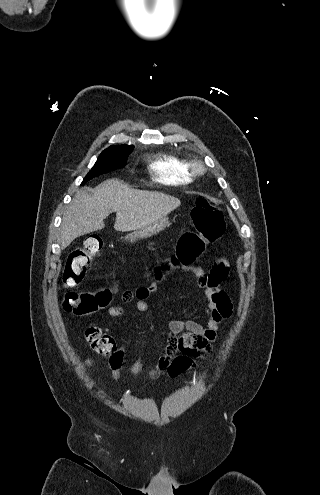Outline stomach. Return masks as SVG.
Instances as JSON below:
<instances>
[{"instance_id": "1", "label": "stomach", "mask_w": 320, "mask_h": 495, "mask_svg": "<svg viewBox=\"0 0 320 495\" xmlns=\"http://www.w3.org/2000/svg\"><path fill=\"white\" fill-rule=\"evenodd\" d=\"M168 224L169 219L167 216H164L145 227L131 231L129 234L121 238L130 242H134L137 239L147 238L161 232L168 226Z\"/></svg>"}]
</instances>
